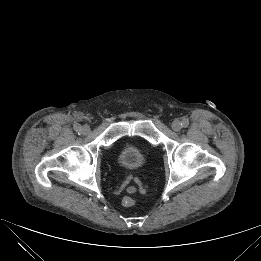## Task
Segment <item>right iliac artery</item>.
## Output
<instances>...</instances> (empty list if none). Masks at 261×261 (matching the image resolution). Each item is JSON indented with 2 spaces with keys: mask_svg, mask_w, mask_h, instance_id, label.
I'll use <instances>...</instances> for the list:
<instances>
[{
  "mask_svg": "<svg viewBox=\"0 0 261 261\" xmlns=\"http://www.w3.org/2000/svg\"><path fill=\"white\" fill-rule=\"evenodd\" d=\"M74 130L77 131V132H80L81 131V126L80 125H75L74 126Z\"/></svg>",
  "mask_w": 261,
  "mask_h": 261,
  "instance_id": "obj_1",
  "label": "right iliac artery"
}]
</instances>
